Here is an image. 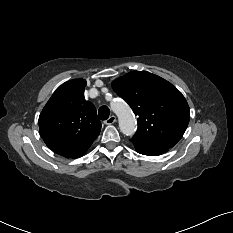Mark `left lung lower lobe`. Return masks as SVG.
Instances as JSON below:
<instances>
[{"label": "left lung lower lobe", "instance_id": "obj_1", "mask_svg": "<svg viewBox=\"0 0 233 233\" xmlns=\"http://www.w3.org/2000/svg\"><path fill=\"white\" fill-rule=\"evenodd\" d=\"M137 152L143 155L156 156L168 151V148L155 145L133 143Z\"/></svg>", "mask_w": 233, "mask_h": 233}]
</instances>
